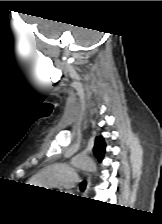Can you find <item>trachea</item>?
Listing matches in <instances>:
<instances>
[{
  "instance_id": "trachea-1",
  "label": "trachea",
  "mask_w": 162,
  "mask_h": 224,
  "mask_svg": "<svg viewBox=\"0 0 162 224\" xmlns=\"http://www.w3.org/2000/svg\"><path fill=\"white\" fill-rule=\"evenodd\" d=\"M85 188H86V182H82L81 184H80V189L81 190H85Z\"/></svg>"
}]
</instances>
